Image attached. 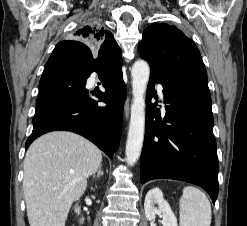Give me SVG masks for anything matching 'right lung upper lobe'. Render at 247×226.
Listing matches in <instances>:
<instances>
[{
	"mask_svg": "<svg viewBox=\"0 0 247 226\" xmlns=\"http://www.w3.org/2000/svg\"><path fill=\"white\" fill-rule=\"evenodd\" d=\"M74 38L85 45L100 47L101 53L106 52L112 55L110 57L112 62L122 64L121 51L112 33L105 30L100 24L91 23L79 28L74 33Z\"/></svg>",
	"mask_w": 247,
	"mask_h": 226,
	"instance_id": "right-lung-upper-lobe-1",
	"label": "right lung upper lobe"
}]
</instances>
